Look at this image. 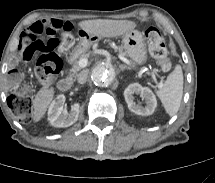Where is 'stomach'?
I'll return each instance as SVG.
<instances>
[{
    "label": "stomach",
    "instance_id": "0dacf381",
    "mask_svg": "<svg viewBox=\"0 0 215 183\" xmlns=\"http://www.w3.org/2000/svg\"><path fill=\"white\" fill-rule=\"evenodd\" d=\"M96 41H98V39L93 36L82 38L79 44L74 48L72 56L75 57L86 52ZM122 43L126 54L130 57L134 64L142 65L147 61L148 56L146 44L141 32L133 29L124 34Z\"/></svg>",
    "mask_w": 215,
    "mask_h": 183
}]
</instances>
